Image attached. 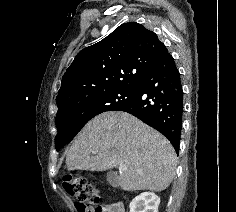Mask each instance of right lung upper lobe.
I'll return each instance as SVG.
<instances>
[{
  "label": "right lung upper lobe",
  "instance_id": "right-lung-upper-lobe-1",
  "mask_svg": "<svg viewBox=\"0 0 236 212\" xmlns=\"http://www.w3.org/2000/svg\"><path fill=\"white\" fill-rule=\"evenodd\" d=\"M166 51L158 36L142 24H122L76 55L62 78L58 110L93 94L137 85Z\"/></svg>",
  "mask_w": 236,
  "mask_h": 212
}]
</instances>
